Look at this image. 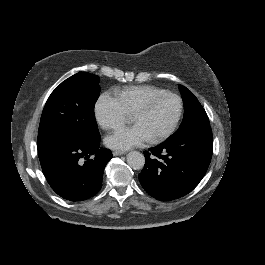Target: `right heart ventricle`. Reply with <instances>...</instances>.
<instances>
[{"mask_svg": "<svg viewBox=\"0 0 265 265\" xmlns=\"http://www.w3.org/2000/svg\"><path fill=\"white\" fill-rule=\"evenodd\" d=\"M157 87L150 85L128 86L116 93L125 114L133 115L140 104L151 94L159 91Z\"/></svg>", "mask_w": 265, "mask_h": 265, "instance_id": "1", "label": "right heart ventricle"}]
</instances>
